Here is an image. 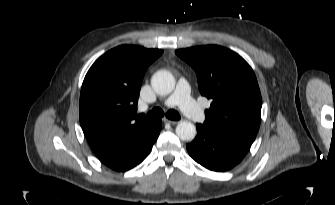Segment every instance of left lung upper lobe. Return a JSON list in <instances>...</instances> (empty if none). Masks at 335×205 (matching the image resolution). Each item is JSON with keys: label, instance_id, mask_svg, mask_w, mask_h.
I'll list each match as a JSON object with an SVG mask.
<instances>
[{"label": "left lung upper lobe", "instance_id": "obj_1", "mask_svg": "<svg viewBox=\"0 0 335 205\" xmlns=\"http://www.w3.org/2000/svg\"><path fill=\"white\" fill-rule=\"evenodd\" d=\"M197 74L201 95L212 101L204 126L253 142L261 119V94L256 76L237 53L217 45L176 50Z\"/></svg>", "mask_w": 335, "mask_h": 205}]
</instances>
